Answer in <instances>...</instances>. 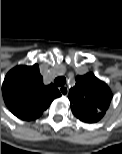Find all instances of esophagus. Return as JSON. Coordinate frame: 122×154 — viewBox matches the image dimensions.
<instances>
[{
    "label": "esophagus",
    "mask_w": 122,
    "mask_h": 154,
    "mask_svg": "<svg viewBox=\"0 0 122 154\" xmlns=\"http://www.w3.org/2000/svg\"><path fill=\"white\" fill-rule=\"evenodd\" d=\"M59 91H60V93H61L63 96H67V95H68V92H69V90H68V88H67L66 86L60 87V88H59Z\"/></svg>",
    "instance_id": "obj_1"
}]
</instances>
